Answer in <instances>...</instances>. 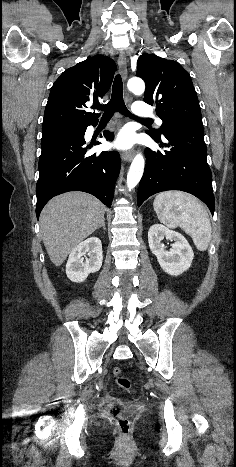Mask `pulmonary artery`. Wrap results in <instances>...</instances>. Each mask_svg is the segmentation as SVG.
<instances>
[{"instance_id":"obj_1","label":"pulmonary artery","mask_w":236,"mask_h":467,"mask_svg":"<svg viewBox=\"0 0 236 467\" xmlns=\"http://www.w3.org/2000/svg\"><path fill=\"white\" fill-rule=\"evenodd\" d=\"M133 113L138 117H153V111L151 107L144 102H137L132 108ZM159 125L162 124L160 119H157Z\"/></svg>"}]
</instances>
